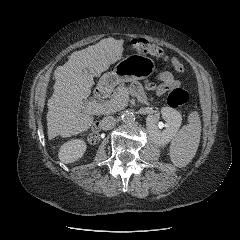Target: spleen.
I'll list each match as a JSON object with an SVG mask.
<instances>
[{"instance_id":"obj_1","label":"spleen","mask_w":240,"mask_h":240,"mask_svg":"<svg viewBox=\"0 0 240 240\" xmlns=\"http://www.w3.org/2000/svg\"><path fill=\"white\" fill-rule=\"evenodd\" d=\"M201 137V121L198 112H191L188 124L175 135L170 145V159L177 167H185L194 158Z\"/></svg>"}]
</instances>
